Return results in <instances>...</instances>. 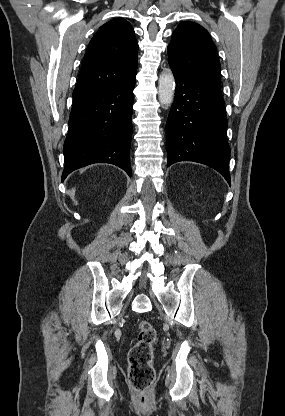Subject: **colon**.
I'll return each mask as SVG.
<instances>
[{
	"mask_svg": "<svg viewBox=\"0 0 285 416\" xmlns=\"http://www.w3.org/2000/svg\"><path fill=\"white\" fill-rule=\"evenodd\" d=\"M155 338L154 326L148 321H140L137 341L128 354L129 382L136 392L139 407L149 406L154 399L152 387L155 382V371L152 361Z\"/></svg>",
	"mask_w": 285,
	"mask_h": 416,
	"instance_id": "5ec220e1",
	"label": "colon"
}]
</instances>
